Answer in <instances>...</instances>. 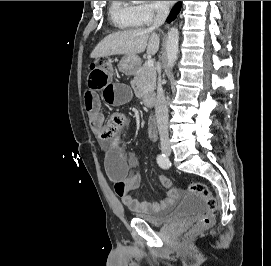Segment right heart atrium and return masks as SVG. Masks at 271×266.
I'll return each mask as SVG.
<instances>
[{
    "mask_svg": "<svg viewBox=\"0 0 271 266\" xmlns=\"http://www.w3.org/2000/svg\"><path fill=\"white\" fill-rule=\"evenodd\" d=\"M136 11L141 24H150L165 11V8L158 1H148L137 5Z\"/></svg>",
    "mask_w": 271,
    "mask_h": 266,
    "instance_id": "1",
    "label": "right heart atrium"
}]
</instances>
